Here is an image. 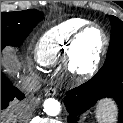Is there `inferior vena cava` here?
<instances>
[{"mask_svg": "<svg viewBox=\"0 0 123 123\" xmlns=\"http://www.w3.org/2000/svg\"><path fill=\"white\" fill-rule=\"evenodd\" d=\"M22 89L28 93L36 92L40 89V82L36 76H26L21 82Z\"/></svg>", "mask_w": 123, "mask_h": 123, "instance_id": "inferior-vena-cava-1", "label": "inferior vena cava"}]
</instances>
